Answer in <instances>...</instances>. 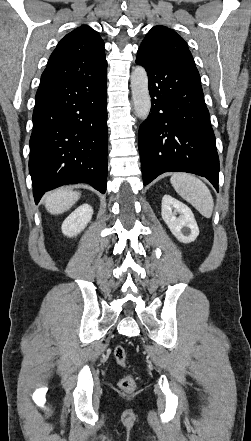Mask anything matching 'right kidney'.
<instances>
[{"mask_svg": "<svg viewBox=\"0 0 251 441\" xmlns=\"http://www.w3.org/2000/svg\"><path fill=\"white\" fill-rule=\"evenodd\" d=\"M93 215V208L83 204L73 211L63 222L62 232L68 237H74L85 229Z\"/></svg>", "mask_w": 251, "mask_h": 441, "instance_id": "ca27d5eb", "label": "right kidney"}]
</instances>
